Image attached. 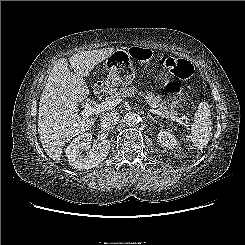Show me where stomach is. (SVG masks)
Here are the masks:
<instances>
[{"mask_svg":"<svg viewBox=\"0 0 245 245\" xmlns=\"http://www.w3.org/2000/svg\"><path fill=\"white\" fill-rule=\"evenodd\" d=\"M105 68L108 75L105 81L106 87L115 91L120 86H128L135 79V71L128 51L117 49L112 52L106 62ZM181 104L178 99H173L168 105V111L176 113Z\"/></svg>","mask_w":245,"mask_h":245,"instance_id":"stomach-1","label":"stomach"}]
</instances>
